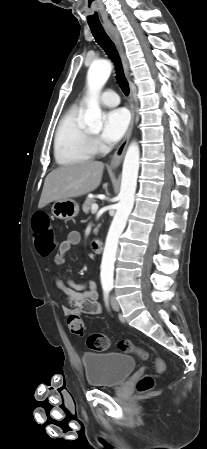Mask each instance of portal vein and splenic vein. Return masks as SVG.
<instances>
[{
	"label": "portal vein and splenic vein",
	"instance_id": "portal-vein-and-splenic-vein-1",
	"mask_svg": "<svg viewBox=\"0 0 207 449\" xmlns=\"http://www.w3.org/2000/svg\"><path fill=\"white\" fill-rule=\"evenodd\" d=\"M97 210H98V205L96 203H94L91 207V211L96 212Z\"/></svg>",
	"mask_w": 207,
	"mask_h": 449
}]
</instances>
